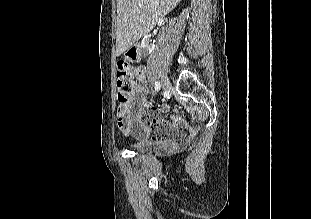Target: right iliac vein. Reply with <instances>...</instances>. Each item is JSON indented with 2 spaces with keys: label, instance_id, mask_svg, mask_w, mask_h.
Here are the masks:
<instances>
[{
  "label": "right iliac vein",
  "instance_id": "obj_1",
  "mask_svg": "<svg viewBox=\"0 0 311 219\" xmlns=\"http://www.w3.org/2000/svg\"><path fill=\"white\" fill-rule=\"evenodd\" d=\"M161 87L164 91H166L169 88V80L166 76L162 77L161 79Z\"/></svg>",
  "mask_w": 311,
  "mask_h": 219
}]
</instances>
